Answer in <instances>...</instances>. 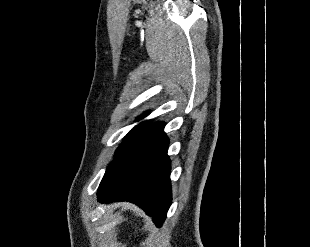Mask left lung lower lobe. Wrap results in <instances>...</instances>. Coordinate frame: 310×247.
I'll use <instances>...</instances> for the list:
<instances>
[{
	"label": "left lung lower lobe",
	"mask_w": 310,
	"mask_h": 247,
	"mask_svg": "<svg viewBox=\"0 0 310 247\" xmlns=\"http://www.w3.org/2000/svg\"><path fill=\"white\" fill-rule=\"evenodd\" d=\"M164 123L134 137L107 168L98 188L100 202L130 201L160 227L171 205L170 160Z\"/></svg>",
	"instance_id": "1"
}]
</instances>
